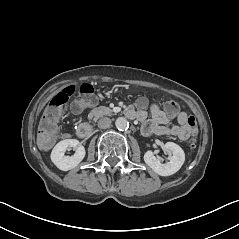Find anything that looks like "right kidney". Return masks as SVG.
<instances>
[{
    "label": "right kidney",
    "instance_id": "ca27d5eb",
    "mask_svg": "<svg viewBox=\"0 0 239 239\" xmlns=\"http://www.w3.org/2000/svg\"><path fill=\"white\" fill-rule=\"evenodd\" d=\"M71 147L75 151L72 156H65ZM85 157V149L78 140L66 139L58 142L51 153L52 163L61 171H70L77 167Z\"/></svg>",
    "mask_w": 239,
    "mask_h": 239
}]
</instances>
